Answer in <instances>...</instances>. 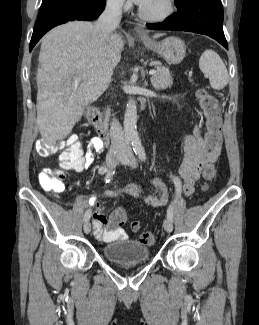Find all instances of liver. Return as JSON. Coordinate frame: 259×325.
I'll return each mask as SVG.
<instances>
[{
	"instance_id": "1",
	"label": "liver",
	"mask_w": 259,
	"mask_h": 325,
	"mask_svg": "<svg viewBox=\"0 0 259 325\" xmlns=\"http://www.w3.org/2000/svg\"><path fill=\"white\" fill-rule=\"evenodd\" d=\"M163 34L157 33L154 38ZM124 42L114 33L105 38L87 21H72L47 33L41 42L37 81V123L49 145L65 139L111 82ZM81 78L79 84L75 78Z\"/></svg>"
}]
</instances>
